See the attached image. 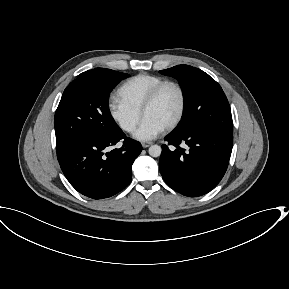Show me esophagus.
I'll list each match as a JSON object with an SVG mask.
<instances>
[{"label":"esophagus","mask_w":289,"mask_h":289,"mask_svg":"<svg viewBox=\"0 0 289 289\" xmlns=\"http://www.w3.org/2000/svg\"><path fill=\"white\" fill-rule=\"evenodd\" d=\"M151 145H152L151 142H143V143H142V147H143V148H147V147H149V146H151Z\"/></svg>","instance_id":"obj_1"}]
</instances>
